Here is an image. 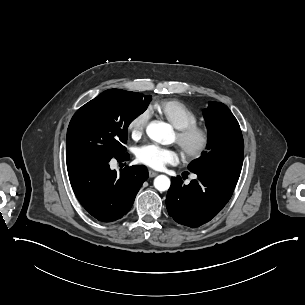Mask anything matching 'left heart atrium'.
Segmentation results:
<instances>
[{
	"mask_svg": "<svg viewBox=\"0 0 305 305\" xmlns=\"http://www.w3.org/2000/svg\"><path fill=\"white\" fill-rule=\"evenodd\" d=\"M138 162L152 168H160L168 163H176L179 159L177 150L173 147H164L154 143H147L137 147Z\"/></svg>",
	"mask_w": 305,
	"mask_h": 305,
	"instance_id": "1",
	"label": "left heart atrium"
}]
</instances>
